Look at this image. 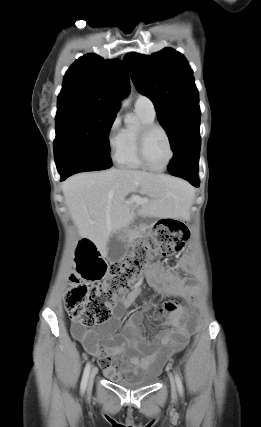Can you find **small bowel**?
<instances>
[{"label": "small bowel", "instance_id": "small-bowel-1", "mask_svg": "<svg viewBox=\"0 0 261 427\" xmlns=\"http://www.w3.org/2000/svg\"><path fill=\"white\" fill-rule=\"evenodd\" d=\"M180 272L188 274L195 272V265L190 255L184 254L170 269H165L158 263L152 265L146 274V280L158 293L176 292L188 301L194 302L196 293L192 278L183 276ZM140 293V286H136L118 300L113 306L112 317L99 329L85 328L80 325H73L71 328L74 338L90 355L98 358L100 367L109 377L133 379L143 375L158 374L168 358L186 346L194 328V320L187 310L177 308L169 316V328L158 332L154 339L147 340L143 335L142 323L146 312L153 306L152 302H147L142 310L128 317L120 334H114L112 331L122 319L124 310L134 303ZM141 350H149L150 353L143 357L131 354ZM123 355H130V364L133 368L116 370L112 361L115 357Z\"/></svg>", "mask_w": 261, "mask_h": 427}]
</instances>
